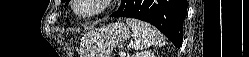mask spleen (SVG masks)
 Returning a JSON list of instances; mask_svg holds the SVG:
<instances>
[{
  "mask_svg": "<svg viewBox=\"0 0 249 57\" xmlns=\"http://www.w3.org/2000/svg\"><path fill=\"white\" fill-rule=\"evenodd\" d=\"M126 23L132 28L136 50L145 49L151 45H164L165 39L161 32L151 24L135 18H127Z\"/></svg>",
  "mask_w": 249,
  "mask_h": 57,
  "instance_id": "1",
  "label": "spleen"
}]
</instances>
